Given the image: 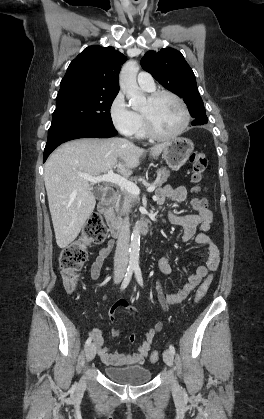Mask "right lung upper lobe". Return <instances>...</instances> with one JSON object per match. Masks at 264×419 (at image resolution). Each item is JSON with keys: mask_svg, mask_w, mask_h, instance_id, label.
<instances>
[{"mask_svg": "<svg viewBox=\"0 0 264 419\" xmlns=\"http://www.w3.org/2000/svg\"><path fill=\"white\" fill-rule=\"evenodd\" d=\"M126 57L113 47L90 46L69 65L60 86L82 85L94 91L119 92V71Z\"/></svg>", "mask_w": 264, "mask_h": 419, "instance_id": "obj_1", "label": "right lung upper lobe"}]
</instances>
